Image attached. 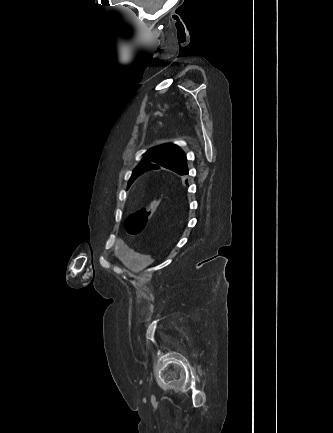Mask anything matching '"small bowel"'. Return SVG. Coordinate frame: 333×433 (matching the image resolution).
Masks as SVG:
<instances>
[{"label":"small bowel","mask_w":333,"mask_h":433,"mask_svg":"<svg viewBox=\"0 0 333 433\" xmlns=\"http://www.w3.org/2000/svg\"><path fill=\"white\" fill-rule=\"evenodd\" d=\"M116 258L122 262L126 267L132 268L136 271H143L149 267L153 258L149 254L137 252L125 245L116 246Z\"/></svg>","instance_id":"obj_1"}]
</instances>
